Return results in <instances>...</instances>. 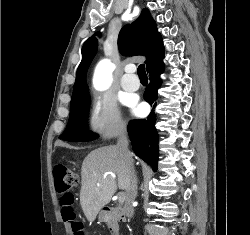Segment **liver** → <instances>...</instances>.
Listing matches in <instances>:
<instances>
[{"mask_svg":"<svg viewBox=\"0 0 250 235\" xmlns=\"http://www.w3.org/2000/svg\"><path fill=\"white\" fill-rule=\"evenodd\" d=\"M80 204L89 222L107 205L117 188L126 190L130 183L128 170L115 146L90 152L81 168Z\"/></svg>","mask_w":250,"mask_h":235,"instance_id":"obj_1","label":"liver"}]
</instances>
